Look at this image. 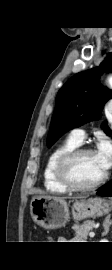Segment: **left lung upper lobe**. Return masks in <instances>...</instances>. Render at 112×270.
Returning <instances> with one entry per match:
<instances>
[{
  "label": "left lung upper lobe",
  "mask_w": 112,
  "mask_h": 270,
  "mask_svg": "<svg viewBox=\"0 0 112 270\" xmlns=\"http://www.w3.org/2000/svg\"><path fill=\"white\" fill-rule=\"evenodd\" d=\"M112 72V53L99 67L74 75L59 90L52 117L47 146L51 147L67 131L101 117L104 104L112 98V90L102 86V72ZM102 129L111 134L105 123Z\"/></svg>",
  "instance_id": "left-lung-upper-lobe-1"
}]
</instances>
